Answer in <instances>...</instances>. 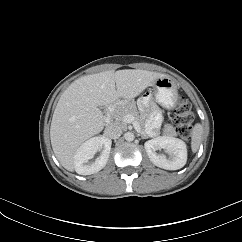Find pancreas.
I'll list each match as a JSON object with an SVG mask.
<instances>
[{"mask_svg": "<svg viewBox=\"0 0 242 242\" xmlns=\"http://www.w3.org/2000/svg\"><path fill=\"white\" fill-rule=\"evenodd\" d=\"M127 114L133 115L135 120L141 125L140 120H139V114H138L135 103H126L121 106H118L114 110L112 116L115 119V122L117 124L124 126L125 123L123 122V118ZM164 134L173 136V135H176V132H175L173 126H171L170 124H166L164 126Z\"/></svg>", "mask_w": 242, "mask_h": 242, "instance_id": "1", "label": "pancreas"}]
</instances>
